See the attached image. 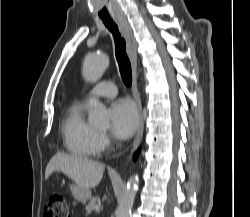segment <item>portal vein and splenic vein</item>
<instances>
[{
	"label": "portal vein and splenic vein",
	"instance_id": "portal-vein-and-splenic-vein-1",
	"mask_svg": "<svg viewBox=\"0 0 250 217\" xmlns=\"http://www.w3.org/2000/svg\"><path fill=\"white\" fill-rule=\"evenodd\" d=\"M95 209H96V211H99V210H100V206L97 205V206L95 207Z\"/></svg>",
	"mask_w": 250,
	"mask_h": 217
}]
</instances>
